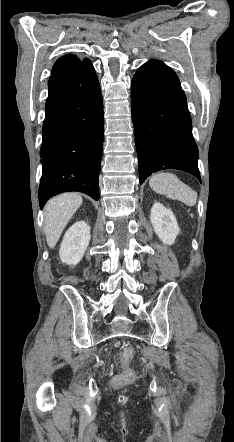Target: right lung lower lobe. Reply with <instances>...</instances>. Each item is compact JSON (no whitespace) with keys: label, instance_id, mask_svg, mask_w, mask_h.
<instances>
[{"label":"right lung lower lobe","instance_id":"1","mask_svg":"<svg viewBox=\"0 0 234 442\" xmlns=\"http://www.w3.org/2000/svg\"><path fill=\"white\" fill-rule=\"evenodd\" d=\"M48 89L40 150V207L67 191L83 192L98 200L104 121L92 63L50 77Z\"/></svg>","mask_w":234,"mask_h":442}]
</instances>
